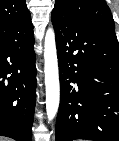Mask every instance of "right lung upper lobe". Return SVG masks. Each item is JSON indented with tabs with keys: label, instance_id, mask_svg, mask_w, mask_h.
<instances>
[{
	"label": "right lung upper lobe",
	"instance_id": "1",
	"mask_svg": "<svg viewBox=\"0 0 119 141\" xmlns=\"http://www.w3.org/2000/svg\"><path fill=\"white\" fill-rule=\"evenodd\" d=\"M30 18L25 0H0V26Z\"/></svg>",
	"mask_w": 119,
	"mask_h": 141
}]
</instances>
